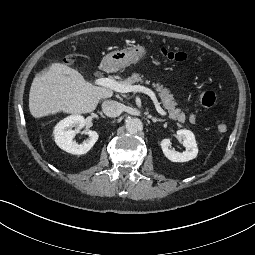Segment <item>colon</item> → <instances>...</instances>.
<instances>
[{
  "instance_id": "5ec220e1",
  "label": "colon",
  "mask_w": 255,
  "mask_h": 255,
  "mask_svg": "<svg viewBox=\"0 0 255 255\" xmlns=\"http://www.w3.org/2000/svg\"><path fill=\"white\" fill-rule=\"evenodd\" d=\"M162 55L171 61L184 62L188 59V54L183 51H172L165 47L161 48ZM200 102L201 105L206 109H211L216 106L218 98L215 92L206 88L204 84L200 86ZM218 131L225 133L228 130V124L224 121L218 124Z\"/></svg>"
}]
</instances>
